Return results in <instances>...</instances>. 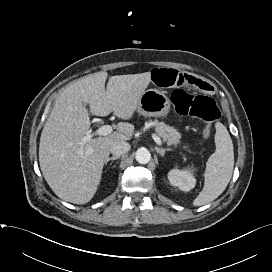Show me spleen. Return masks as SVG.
<instances>
[{"mask_svg": "<svg viewBox=\"0 0 272 272\" xmlns=\"http://www.w3.org/2000/svg\"><path fill=\"white\" fill-rule=\"evenodd\" d=\"M215 152L209 157L204 173L203 190L194 199V206H202L218 198L226 189L233 173V143L227 128L215 123Z\"/></svg>", "mask_w": 272, "mask_h": 272, "instance_id": "obj_1", "label": "spleen"}]
</instances>
